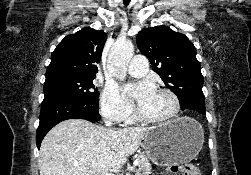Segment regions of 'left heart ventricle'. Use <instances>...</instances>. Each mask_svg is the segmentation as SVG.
<instances>
[{"mask_svg":"<svg viewBox=\"0 0 251 175\" xmlns=\"http://www.w3.org/2000/svg\"><path fill=\"white\" fill-rule=\"evenodd\" d=\"M141 112L148 116L166 118L174 112V104L168 94L156 91L151 102Z\"/></svg>","mask_w":251,"mask_h":175,"instance_id":"b2bd125f","label":"left heart ventricle"}]
</instances>
